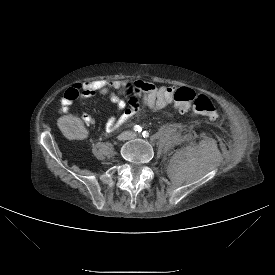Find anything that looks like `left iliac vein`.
Wrapping results in <instances>:
<instances>
[{
	"label": "left iliac vein",
	"instance_id": "4c4485c4",
	"mask_svg": "<svg viewBox=\"0 0 275 275\" xmlns=\"http://www.w3.org/2000/svg\"><path fill=\"white\" fill-rule=\"evenodd\" d=\"M136 137H137L136 134H132V135H131V138H136Z\"/></svg>",
	"mask_w": 275,
	"mask_h": 275
}]
</instances>
